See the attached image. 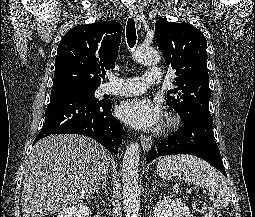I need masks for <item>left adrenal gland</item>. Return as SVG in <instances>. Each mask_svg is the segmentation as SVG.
Wrapping results in <instances>:
<instances>
[{
  "label": "left adrenal gland",
  "mask_w": 255,
  "mask_h": 217,
  "mask_svg": "<svg viewBox=\"0 0 255 217\" xmlns=\"http://www.w3.org/2000/svg\"><path fill=\"white\" fill-rule=\"evenodd\" d=\"M159 185V183L158 182H155V186L153 187V191L156 189V187Z\"/></svg>",
  "instance_id": "obj_1"
}]
</instances>
